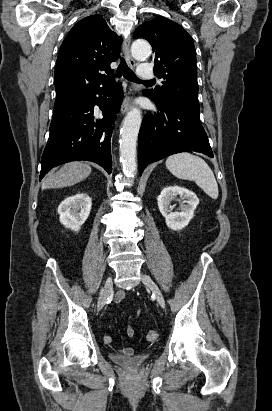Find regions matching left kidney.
Segmentation results:
<instances>
[{
	"label": "left kidney",
	"instance_id": "obj_1",
	"mask_svg": "<svg viewBox=\"0 0 272 411\" xmlns=\"http://www.w3.org/2000/svg\"><path fill=\"white\" fill-rule=\"evenodd\" d=\"M180 195L186 199V205H182L179 211L172 212L170 203ZM160 213L165 217L168 228L172 230H181L185 228L194 216V210L199 204L196 194L186 188L179 186H169L164 188L157 198Z\"/></svg>",
	"mask_w": 272,
	"mask_h": 411
}]
</instances>
